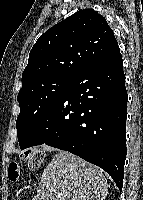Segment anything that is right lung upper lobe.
<instances>
[{"label": "right lung upper lobe", "instance_id": "obj_1", "mask_svg": "<svg viewBox=\"0 0 143 200\" xmlns=\"http://www.w3.org/2000/svg\"><path fill=\"white\" fill-rule=\"evenodd\" d=\"M117 48L102 15L92 9L78 11L38 38L22 74V88L53 76L72 78Z\"/></svg>", "mask_w": 143, "mask_h": 200}]
</instances>
